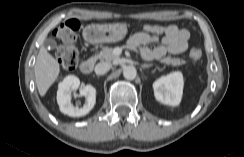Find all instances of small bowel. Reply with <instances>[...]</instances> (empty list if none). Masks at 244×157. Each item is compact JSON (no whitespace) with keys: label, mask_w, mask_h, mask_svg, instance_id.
I'll list each match as a JSON object with an SVG mask.
<instances>
[{"label":"small bowel","mask_w":244,"mask_h":157,"mask_svg":"<svg viewBox=\"0 0 244 157\" xmlns=\"http://www.w3.org/2000/svg\"><path fill=\"white\" fill-rule=\"evenodd\" d=\"M190 33L188 30L175 25L167 26L162 35L137 33L133 35L128 43L131 47L139 48L140 55L144 60H159L167 53L181 54L188 48ZM161 45L151 48L149 45L157 42Z\"/></svg>","instance_id":"c3829d8e"}]
</instances>
